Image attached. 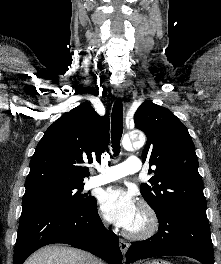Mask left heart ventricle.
I'll list each match as a JSON object with an SVG mask.
<instances>
[{"label":"left heart ventricle","instance_id":"left-heart-ventricle-1","mask_svg":"<svg viewBox=\"0 0 221 264\" xmlns=\"http://www.w3.org/2000/svg\"><path fill=\"white\" fill-rule=\"evenodd\" d=\"M142 223V215L140 212H138L137 217L133 223V225L129 229H135L138 228Z\"/></svg>","mask_w":221,"mask_h":264}]
</instances>
